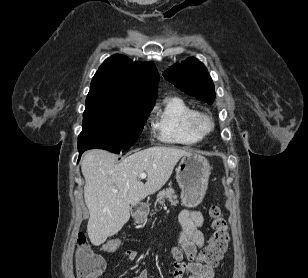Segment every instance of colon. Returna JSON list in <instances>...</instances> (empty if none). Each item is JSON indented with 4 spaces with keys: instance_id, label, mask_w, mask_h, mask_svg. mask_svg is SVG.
I'll return each instance as SVG.
<instances>
[{
    "instance_id": "obj_1",
    "label": "colon",
    "mask_w": 308,
    "mask_h": 278,
    "mask_svg": "<svg viewBox=\"0 0 308 278\" xmlns=\"http://www.w3.org/2000/svg\"><path fill=\"white\" fill-rule=\"evenodd\" d=\"M211 228L213 230L208 245L199 253V260L208 267H215L227 250L229 234L228 224L219 207L212 206L209 210ZM118 239L105 240L100 247L101 253H116L119 250ZM78 278H98L104 271L103 258L95 253L84 234L77 239L75 256Z\"/></svg>"
}]
</instances>
